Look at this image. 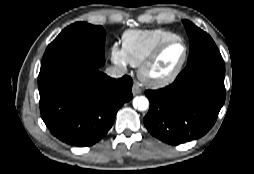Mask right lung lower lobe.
Returning a JSON list of instances; mask_svg holds the SVG:
<instances>
[{
    "label": "right lung lower lobe",
    "instance_id": "98d812e1",
    "mask_svg": "<svg viewBox=\"0 0 254 174\" xmlns=\"http://www.w3.org/2000/svg\"><path fill=\"white\" fill-rule=\"evenodd\" d=\"M133 80L113 79L100 67H76L38 83L41 117L52 135L69 145L92 146L112 127L119 108L133 98Z\"/></svg>",
    "mask_w": 254,
    "mask_h": 174
}]
</instances>
